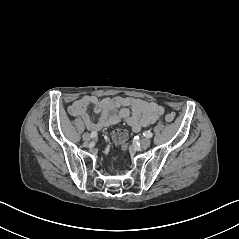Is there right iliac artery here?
<instances>
[{"label": "right iliac artery", "instance_id": "1", "mask_svg": "<svg viewBox=\"0 0 239 239\" xmlns=\"http://www.w3.org/2000/svg\"><path fill=\"white\" fill-rule=\"evenodd\" d=\"M96 136H97V132H95V131L91 132V137L92 138H95Z\"/></svg>", "mask_w": 239, "mask_h": 239}]
</instances>
